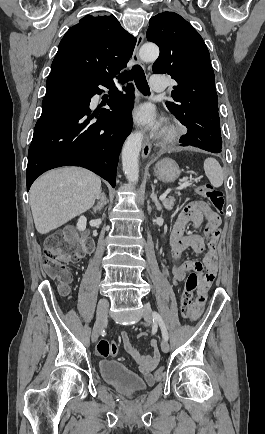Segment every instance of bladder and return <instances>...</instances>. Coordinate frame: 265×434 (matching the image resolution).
Here are the masks:
<instances>
[{
    "label": "bladder",
    "instance_id": "1",
    "mask_svg": "<svg viewBox=\"0 0 265 434\" xmlns=\"http://www.w3.org/2000/svg\"><path fill=\"white\" fill-rule=\"evenodd\" d=\"M98 369L104 381L120 392L132 394L146 388V384L135 373L118 361L102 360Z\"/></svg>",
    "mask_w": 265,
    "mask_h": 434
}]
</instances>
